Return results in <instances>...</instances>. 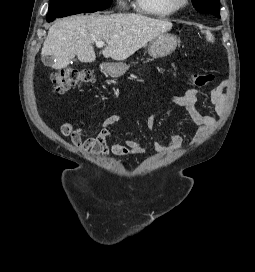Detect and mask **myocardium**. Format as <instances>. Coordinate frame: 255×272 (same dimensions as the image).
Masks as SVG:
<instances>
[{
    "label": "myocardium",
    "instance_id": "1",
    "mask_svg": "<svg viewBox=\"0 0 255 272\" xmlns=\"http://www.w3.org/2000/svg\"><path fill=\"white\" fill-rule=\"evenodd\" d=\"M167 5L174 11H179L185 8L189 0H165Z\"/></svg>",
    "mask_w": 255,
    "mask_h": 272
}]
</instances>
